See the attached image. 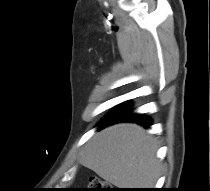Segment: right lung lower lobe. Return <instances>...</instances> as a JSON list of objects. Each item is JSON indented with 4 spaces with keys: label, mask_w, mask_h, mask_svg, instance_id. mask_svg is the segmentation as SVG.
I'll return each instance as SVG.
<instances>
[{
    "label": "right lung lower lobe",
    "mask_w": 210,
    "mask_h": 191,
    "mask_svg": "<svg viewBox=\"0 0 210 191\" xmlns=\"http://www.w3.org/2000/svg\"><path fill=\"white\" fill-rule=\"evenodd\" d=\"M131 107L132 104L130 101L119 104L98 124L100 126L99 128L125 121L135 122L145 127H149L152 124V120L143 114L132 113Z\"/></svg>",
    "instance_id": "obj_1"
}]
</instances>
